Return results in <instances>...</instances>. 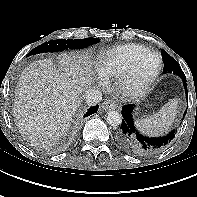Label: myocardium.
Here are the masks:
<instances>
[{
    "mask_svg": "<svg viewBox=\"0 0 197 197\" xmlns=\"http://www.w3.org/2000/svg\"><path fill=\"white\" fill-rule=\"evenodd\" d=\"M154 55L158 58V68L155 73L142 85L137 86L134 83V74L138 64L148 56ZM163 68L162 56L156 51H148L139 55L130 64L124 74L119 78L117 82V90L119 94L126 99H139L144 97L151 90Z\"/></svg>",
    "mask_w": 197,
    "mask_h": 197,
    "instance_id": "f54148a6",
    "label": "myocardium"
}]
</instances>
